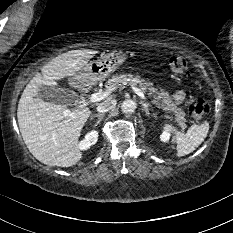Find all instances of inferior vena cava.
I'll use <instances>...</instances> for the list:
<instances>
[{
    "mask_svg": "<svg viewBox=\"0 0 233 233\" xmlns=\"http://www.w3.org/2000/svg\"><path fill=\"white\" fill-rule=\"evenodd\" d=\"M115 106V100L106 99L97 106V111L99 113H105L110 111Z\"/></svg>",
    "mask_w": 233,
    "mask_h": 233,
    "instance_id": "inferior-vena-cava-1",
    "label": "inferior vena cava"
}]
</instances>
